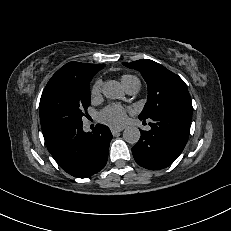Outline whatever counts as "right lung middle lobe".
<instances>
[{"mask_svg": "<svg viewBox=\"0 0 231 231\" xmlns=\"http://www.w3.org/2000/svg\"><path fill=\"white\" fill-rule=\"evenodd\" d=\"M91 79L52 77L40 99V122L44 135H52L82 123L90 105Z\"/></svg>", "mask_w": 231, "mask_h": 231, "instance_id": "right-lung-middle-lobe-1", "label": "right lung middle lobe"}]
</instances>
